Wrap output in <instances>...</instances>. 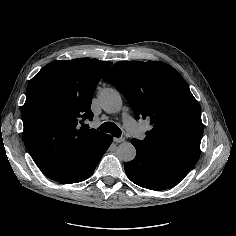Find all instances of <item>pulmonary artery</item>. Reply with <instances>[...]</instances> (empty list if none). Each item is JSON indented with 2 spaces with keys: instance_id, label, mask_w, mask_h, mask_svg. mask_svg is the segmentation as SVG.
<instances>
[{
  "instance_id": "e3ab8cb5",
  "label": "pulmonary artery",
  "mask_w": 236,
  "mask_h": 236,
  "mask_svg": "<svg viewBox=\"0 0 236 236\" xmlns=\"http://www.w3.org/2000/svg\"><path fill=\"white\" fill-rule=\"evenodd\" d=\"M125 128L132 136H140L142 134V127L137 124L134 117H127L125 119Z\"/></svg>"
}]
</instances>
